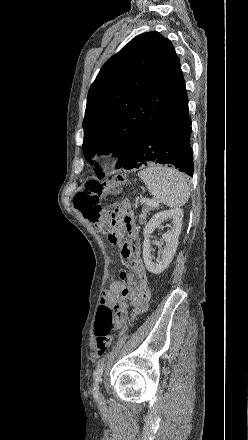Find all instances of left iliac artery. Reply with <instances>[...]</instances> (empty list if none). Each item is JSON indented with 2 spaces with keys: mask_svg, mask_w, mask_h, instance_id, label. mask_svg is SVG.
<instances>
[{
  "mask_svg": "<svg viewBox=\"0 0 248 440\" xmlns=\"http://www.w3.org/2000/svg\"><path fill=\"white\" fill-rule=\"evenodd\" d=\"M104 368H105V361L104 360L99 361L98 365L93 373L94 380H95V386H97L98 383L101 381V377H102Z\"/></svg>",
  "mask_w": 248,
  "mask_h": 440,
  "instance_id": "obj_1",
  "label": "left iliac artery"
}]
</instances>
